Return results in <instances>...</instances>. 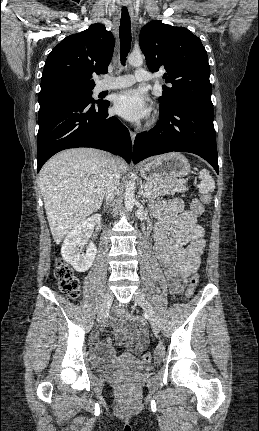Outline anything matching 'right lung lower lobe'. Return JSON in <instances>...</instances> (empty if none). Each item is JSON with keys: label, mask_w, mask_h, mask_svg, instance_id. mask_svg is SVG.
I'll use <instances>...</instances> for the list:
<instances>
[{"label": "right lung lower lobe", "mask_w": 259, "mask_h": 431, "mask_svg": "<svg viewBox=\"0 0 259 431\" xmlns=\"http://www.w3.org/2000/svg\"><path fill=\"white\" fill-rule=\"evenodd\" d=\"M109 104L68 97L40 104L37 171L57 152L76 147L106 150L129 163L132 156L129 131L119 119L108 117Z\"/></svg>", "instance_id": "98d812e1"}]
</instances>
